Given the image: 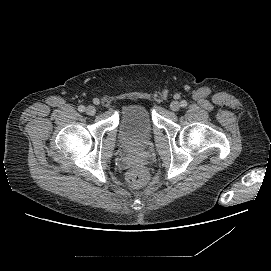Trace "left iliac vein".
<instances>
[{
    "instance_id": "4c4485c4",
    "label": "left iliac vein",
    "mask_w": 271,
    "mask_h": 271,
    "mask_svg": "<svg viewBox=\"0 0 271 271\" xmlns=\"http://www.w3.org/2000/svg\"><path fill=\"white\" fill-rule=\"evenodd\" d=\"M180 107H181V105L177 101H173L170 104V108H171L172 111H178L180 109Z\"/></svg>"
}]
</instances>
